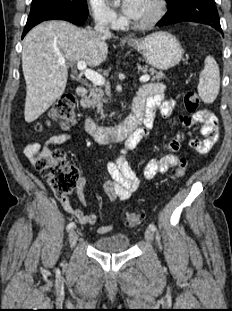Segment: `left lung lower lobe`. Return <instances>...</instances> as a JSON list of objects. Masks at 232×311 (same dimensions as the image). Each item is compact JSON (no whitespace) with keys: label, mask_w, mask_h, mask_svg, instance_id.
I'll use <instances>...</instances> for the list:
<instances>
[{"label":"left lung lower lobe","mask_w":232,"mask_h":311,"mask_svg":"<svg viewBox=\"0 0 232 311\" xmlns=\"http://www.w3.org/2000/svg\"><path fill=\"white\" fill-rule=\"evenodd\" d=\"M190 21L212 26L222 33L214 0H172L157 26Z\"/></svg>","instance_id":"left-lung-lower-lobe-1"}]
</instances>
